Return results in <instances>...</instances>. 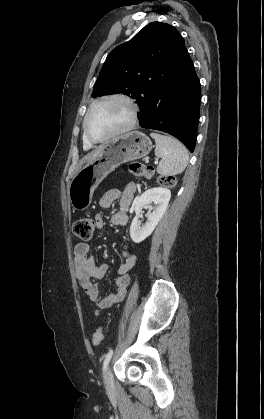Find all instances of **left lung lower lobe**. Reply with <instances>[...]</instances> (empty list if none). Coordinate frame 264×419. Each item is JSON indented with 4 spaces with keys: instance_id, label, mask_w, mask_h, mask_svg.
Returning <instances> with one entry per match:
<instances>
[{
    "instance_id": "left-lung-lower-lobe-1",
    "label": "left lung lower lobe",
    "mask_w": 264,
    "mask_h": 419,
    "mask_svg": "<svg viewBox=\"0 0 264 419\" xmlns=\"http://www.w3.org/2000/svg\"><path fill=\"white\" fill-rule=\"evenodd\" d=\"M200 100V82L183 39L172 71L151 85L140 109L139 124L143 128L171 134L193 152Z\"/></svg>"
}]
</instances>
